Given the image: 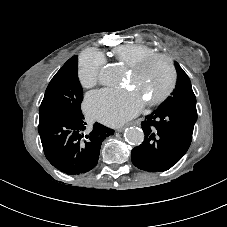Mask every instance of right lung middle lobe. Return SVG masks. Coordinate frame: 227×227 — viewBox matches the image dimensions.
<instances>
[{"instance_id": "1", "label": "right lung middle lobe", "mask_w": 227, "mask_h": 227, "mask_svg": "<svg viewBox=\"0 0 227 227\" xmlns=\"http://www.w3.org/2000/svg\"><path fill=\"white\" fill-rule=\"evenodd\" d=\"M77 56L70 58L50 81L39 109V124L62 114L82 115L83 91L77 76Z\"/></svg>"}]
</instances>
